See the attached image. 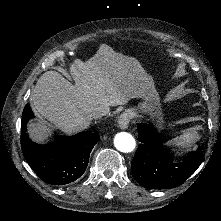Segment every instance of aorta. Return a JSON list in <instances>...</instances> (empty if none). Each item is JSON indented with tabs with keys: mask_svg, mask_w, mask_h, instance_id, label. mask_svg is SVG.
I'll list each match as a JSON object with an SVG mask.
<instances>
[{
	"mask_svg": "<svg viewBox=\"0 0 221 221\" xmlns=\"http://www.w3.org/2000/svg\"><path fill=\"white\" fill-rule=\"evenodd\" d=\"M114 146L121 152L129 153L135 149L136 141L131 134L120 132L114 137Z\"/></svg>",
	"mask_w": 221,
	"mask_h": 221,
	"instance_id": "obj_1",
	"label": "aorta"
}]
</instances>
